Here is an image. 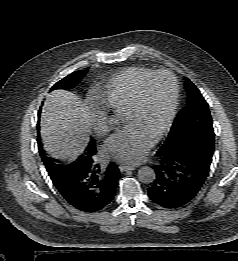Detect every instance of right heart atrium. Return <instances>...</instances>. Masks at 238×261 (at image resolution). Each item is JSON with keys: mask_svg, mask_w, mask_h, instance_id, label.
Listing matches in <instances>:
<instances>
[{"mask_svg": "<svg viewBox=\"0 0 238 261\" xmlns=\"http://www.w3.org/2000/svg\"><path fill=\"white\" fill-rule=\"evenodd\" d=\"M89 116L91 126L98 136H105L110 132L109 118L103 109L92 108Z\"/></svg>", "mask_w": 238, "mask_h": 261, "instance_id": "d8ad5b80", "label": "right heart atrium"}]
</instances>
